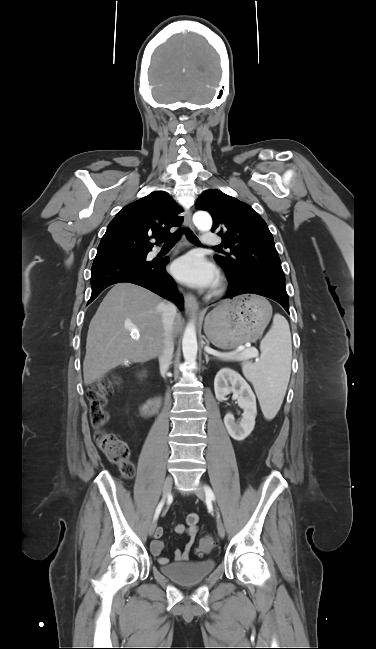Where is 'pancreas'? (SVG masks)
<instances>
[{
	"instance_id": "pancreas-1",
	"label": "pancreas",
	"mask_w": 376,
	"mask_h": 649,
	"mask_svg": "<svg viewBox=\"0 0 376 649\" xmlns=\"http://www.w3.org/2000/svg\"><path fill=\"white\" fill-rule=\"evenodd\" d=\"M247 353V350H243L242 352L239 353V355H244Z\"/></svg>"
}]
</instances>
